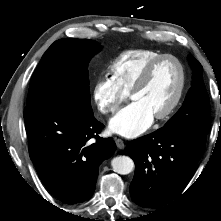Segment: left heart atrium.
<instances>
[{
    "mask_svg": "<svg viewBox=\"0 0 221 221\" xmlns=\"http://www.w3.org/2000/svg\"><path fill=\"white\" fill-rule=\"evenodd\" d=\"M153 115L139 102H132L119 111L109 123V129L124 137L132 138L146 131L153 122Z\"/></svg>",
    "mask_w": 221,
    "mask_h": 221,
    "instance_id": "39dd6f15",
    "label": "left heart atrium"
}]
</instances>
